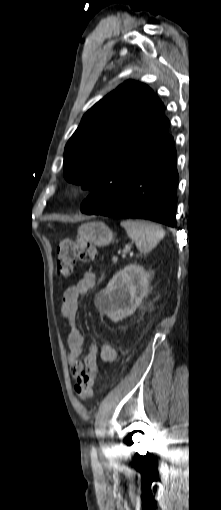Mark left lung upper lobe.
<instances>
[{"mask_svg":"<svg viewBox=\"0 0 221 510\" xmlns=\"http://www.w3.org/2000/svg\"><path fill=\"white\" fill-rule=\"evenodd\" d=\"M164 105L145 84L127 81L89 109L64 152V177L110 203L152 155L173 144Z\"/></svg>","mask_w":221,"mask_h":510,"instance_id":"left-lung-upper-lobe-1","label":"left lung upper lobe"}]
</instances>
